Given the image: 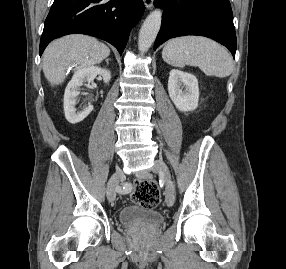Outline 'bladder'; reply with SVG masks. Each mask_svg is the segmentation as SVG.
<instances>
[{"mask_svg":"<svg viewBox=\"0 0 286 269\" xmlns=\"http://www.w3.org/2000/svg\"><path fill=\"white\" fill-rule=\"evenodd\" d=\"M118 220L127 226L157 227L164 222V216L156 210L129 205L120 209Z\"/></svg>","mask_w":286,"mask_h":269,"instance_id":"1","label":"bladder"}]
</instances>
